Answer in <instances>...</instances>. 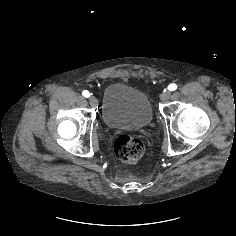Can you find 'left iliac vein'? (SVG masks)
Returning <instances> with one entry per match:
<instances>
[{
  "instance_id": "obj_1",
  "label": "left iliac vein",
  "mask_w": 236,
  "mask_h": 236,
  "mask_svg": "<svg viewBox=\"0 0 236 236\" xmlns=\"http://www.w3.org/2000/svg\"><path fill=\"white\" fill-rule=\"evenodd\" d=\"M170 96H171V92L169 91V90H165L162 94H161V96H160V99H161V101H167L169 98H170Z\"/></svg>"
}]
</instances>
